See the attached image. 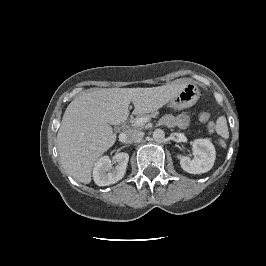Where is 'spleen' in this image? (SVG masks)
Wrapping results in <instances>:
<instances>
[{
  "instance_id": "3e777b00",
  "label": "spleen",
  "mask_w": 266,
  "mask_h": 266,
  "mask_svg": "<svg viewBox=\"0 0 266 266\" xmlns=\"http://www.w3.org/2000/svg\"><path fill=\"white\" fill-rule=\"evenodd\" d=\"M216 132L224 139H227L229 137L227 121L224 116H221L218 118L217 124H216ZM219 143L223 148H226V143L223 139H220Z\"/></svg>"
}]
</instances>
